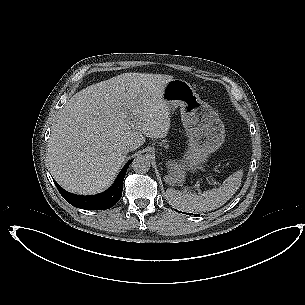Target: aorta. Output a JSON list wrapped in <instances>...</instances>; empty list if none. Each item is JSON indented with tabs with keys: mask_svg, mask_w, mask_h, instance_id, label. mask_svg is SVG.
<instances>
[{
	"mask_svg": "<svg viewBox=\"0 0 305 305\" xmlns=\"http://www.w3.org/2000/svg\"><path fill=\"white\" fill-rule=\"evenodd\" d=\"M132 169L134 172L143 174L150 170L151 162L149 158L145 155H138L131 164Z\"/></svg>",
	"mask_w": 305,
	"mask_h": 305,
	"instance_id": "aorta-1",
	"label": "aorta"
}]
</instances>
